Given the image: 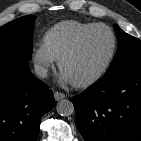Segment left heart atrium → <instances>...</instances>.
Returning <instances> with one entry per match:
<instances>
[{"mask_svg": "<svg viewBox=\"0 0 141 141\" xmlns=\"http://www.w3.org/2000/svg\"><path fill=\"white\" fill-rule=\"evenodd\" d=\"M61 81L64 82V83L71 82V80L68 78V76L63 72L61 74Z\"/></svg>", "mask_w": 141, "mask_h": 141, "instance_id": "obj_1", "label": "left heart atrium"}]
</instances>
